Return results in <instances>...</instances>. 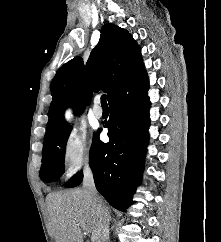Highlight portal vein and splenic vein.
Returning <instances> with one entry per match:
<instances>
[{"mask_svg":"<svg viewBox=\"0 0 221 242\" xmlns=\"http://www.w3.org/2000/svg\"><path fill=\"white\" fill-rule=\"evenodd\" d=\"M84 230H85L87 233H89V231H88L87 229L84 228Z\"/></svg>","mask_w":221,"mask_h":242,"instance_id":"portal-vein-and-splenic-vein-1","label":"portal vein and splenic vein"}]
</instances>
